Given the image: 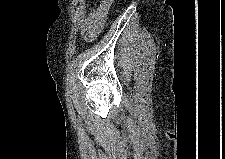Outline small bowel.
<instances>
[{"label": "small bowel", "instance_id": "small-bowel-1", "mask_svg": "<svg viewBox=\"0 0 225 159\" xmlns=\"http://www.w3.org/2000/svg\"><path fill=\"white\" fill-rule=\"evenodd\" d=\"M112 0H103L96 8L86 11L84 0L77 1L76 17L80 27V31L86 41L93 40L101 31Z\"/></svg>", "mask_w": 225, "mask_h": 159}]
</instances>
